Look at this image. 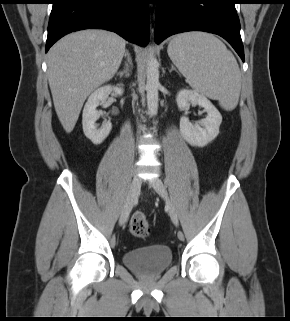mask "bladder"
<instances>
[{
	"instance_id": "31cf9c89",
	"label": "bladder",
	"mask_w": 290,
	"mask_h": 321,
	"mask_svg": "<svg viewBox=\"0 0 290 321\" xmlns=\"http://www.w3.org/2000/svg\"><path fill=\"white\" fill-rule=\"evenodd\" d=\"M126 267L143 277H153L161 274L172 263L171 249L160 245H150L123 253Z\"/></svg>"
}]
</instances>
